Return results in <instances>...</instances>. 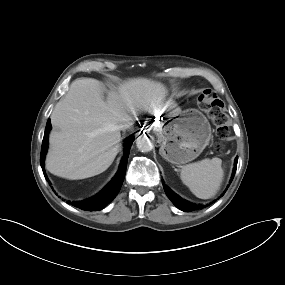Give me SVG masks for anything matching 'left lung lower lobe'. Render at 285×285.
<instances>
[{
  "label": "left lung lower lobe",
  "mask_w": 285,
  "mask_h": 285,
  "mask_svg": "<svg viewBox=\"0 0 285 285\" xmlns=\"http://www.w3.org/2000/svg\"><path fill=\"white\" fill-rule=\"evenodd\" d=\"M237 161H238V157L235 158V161H234V168H233L231 180H230L229 183L232 182L233 177H234V175H235L236 168H237ZM162 184H163L165 193H166V195L168 196V198H169V199L172 201V203H173L177 208H179L180 210H182V211H184V212H191V211H193V210L201 209V208H202L201 205H196V204L190 203V202L184 200L183 198H181L179 195H177V194L174 193L171 189H169V188L164 184L163 181H162ZM228 186H229V185H228Z\"/></svg>",
  "instance_id": "1"
}]
</instances>
